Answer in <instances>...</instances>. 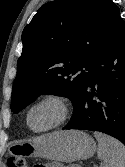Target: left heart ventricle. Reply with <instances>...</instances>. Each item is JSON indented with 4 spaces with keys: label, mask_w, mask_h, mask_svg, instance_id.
Instances as JSON below:
<instances>
[{
    "label": "left heart ventricle",
    "mask_w": 125,
    "mask_h": 167,
    "mask_svg": "<svg viewBox=\"0 0 125 167\" xmlns=\"http://www.w3.org/2000/svg\"><path fill=\"white\" fill-rule=\"evenodd\" d=\"M57 116V108L52 104H45L34 110L31 115V125L41 129L51 124Z\"/></svg>",
    "instance_id": "left-heart-ventricle-1"
}]
</instances>
